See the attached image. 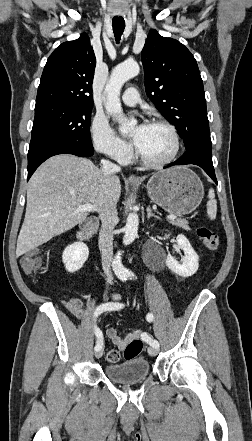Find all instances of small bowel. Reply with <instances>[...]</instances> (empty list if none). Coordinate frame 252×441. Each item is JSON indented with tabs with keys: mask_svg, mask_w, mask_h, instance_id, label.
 I'll return each mask as SVG.
<instances>
[{
	"mask_svg": "<svg viewBox=\"0 0 252 441\" xmlns=\"http://www.w3.org/2000/svg\"><path fill=\"white\" fill-rule=\"evenodd\" d=\"M121 299L119 294L113 295V300L119 302ZM120 304V303H119ZM65 308L76 317L82 319L84 316L83 302L76 297H71L63 302ZM107 338L115 345L120 351H124L126 346L133 340L139 339L141 336L140 330H134L125 336L119 335L118 331L114 327H110L106 330Z\"/></svg>",
	"mask_w": 252,
	"mask_h": 441,
	"instance_id": "1",
	"label": "small bowel"
}]
</instances>
